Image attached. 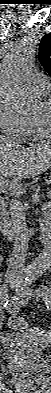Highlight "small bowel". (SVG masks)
Returning <instances> with one entry per match:
<instances>
[{"label":"small bowel","mask_w":51,"mask_h":393,"mask_svg":"<svg viewBox=\"0 0 51 393\" xmlns=\"http://www.w3.org/2000/svg\"><path fill=\"white\" fill-rule=\"evenodd\" d=\"M27 305V300L22 297L13 296L8 300V309L11 313H17L21 307ZM42 331L36 330V333L40 334Z\"/></svg>","instance_id":"small-bowel-1"}]
</instances>
